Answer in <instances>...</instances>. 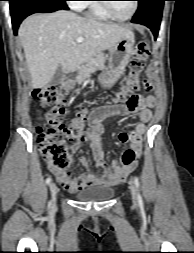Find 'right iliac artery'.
Masks as SVG:
<instances>
[{"mask_svg": "<svg viewBox=\"0 0 194 253\" xmlns=\"http://www.w3.org/2000/svg\"><path fill=\"white\" fill-rule=\"evenodd\" d=\"M50 182H51V177H48V178L46 179V183H47V184H50Z\"/></svg>", "mask_w": 194, "mask_h": 253, "instance_id": "obj_1", "label": "right iliac artery"}]
</instances>
